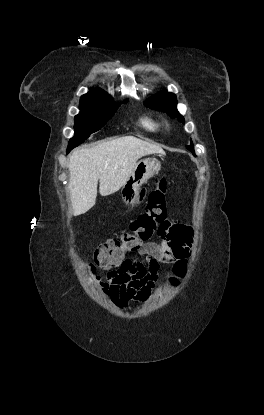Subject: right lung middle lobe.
I'll return each instance as SVG.
<instances>
[{
    "mask_svg": "<svg viewBox=\"0 0 264 415\" xmlns=\"http://www.w3.org/2000/svg\"><path fill=\"white\" fill-rule=\"evenodd\" d=\"M116 108L115 102L110 98L81 99L80 113L75 116V136L69 141L67 152L100 130L113 116Z\"/></svg>",
    "mask_w": 264,
    "mask_h": 415,
    "instance_id": "right-lung-middle-lobe-1",
    "label": "right lung middle lobe"
}]
</instances>
